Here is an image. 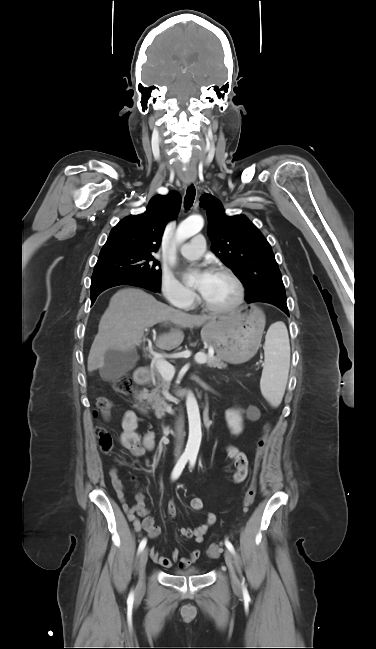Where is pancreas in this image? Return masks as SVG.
Listing matches in <instances>:
<instances>
[{"label":"pancreas","instance_id":"pancreas-1","mask_svg":"<svg viewBox=\"0 0 376 649\" xmlns=\"http://www.w3.org/2000/svg\"><path fill=\"white\" fill-rule=\"evenodd\" d=\"M206 364L208 367H217L219 369L227 367V365L218 357L206 356ZM150 378L156 387L150 393H144L143 399L146 401L147 405L151 406V409L155 411H163L165 402L160 394L164 392L163 390L166 389L168 385L166 380L158 372L155 365L150 366Z\"/></svg>","mask_w":376,"mask_h":649}]
</instances>
